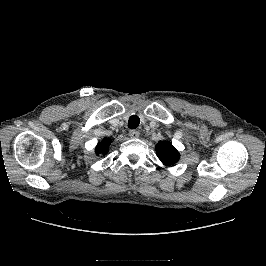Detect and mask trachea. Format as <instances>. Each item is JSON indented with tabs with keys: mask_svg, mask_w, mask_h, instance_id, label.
<instances>
[{
	"mask_svg": "<svg viewBox=\"0 0 266 266\" xmlns=\"http://www.w3.org/2000/svg\"><path fill=\"white\" fill-rule=\"evenodd\" d=\"M140 123V119L137 115H132L128 120V127L130 129H135L138 127Z\"/></svg>",
	"mask_w": 266,
	"mask_h": 266,
	"instance_id": "3493384b",
	"label": "trachea"
}]
</instances>
